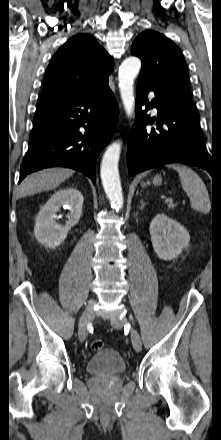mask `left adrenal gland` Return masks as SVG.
Segmentation results:
<instances>
[{"label": "left adrenal gland", "instance_id": "a2214340", "mask_svg": "<svg viewBox=\"0 0 221 440\" xmlns=\"http://www.w3.org/2000/svg\"><path fill=\"white\" fill-rule=\"evenodd\" d=\"M140 202H141V207H140V209L143 210V209H144V206L146 205V203H144L143 199H141Z\"/></svg>", "mask_w": 221, "mask_h": 440}]
</instances>
